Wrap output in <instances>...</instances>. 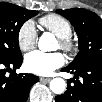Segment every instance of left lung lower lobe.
<instances>
[{
	"label": "left lung lower lobe",
	"instance_id": "left-lung-lower-lobe-1",
	"mask_svg": "<svg viewBox=\"0 0 102 102\" xmlns=\"http://www.w3.org/2000/svg\"><path fill=\"white\" fill-rule=\"evenodd\" d=\"M63 72L74 74V79L68 80L64 94L56 96V102H102V63L92 62L77 64L62 69ZM78 76L83 81L78 80ZM71 82L74 85H71Z\"/></svg>",
	"mask_w": 102,
	"mask_h": 102
}]
</instances>
